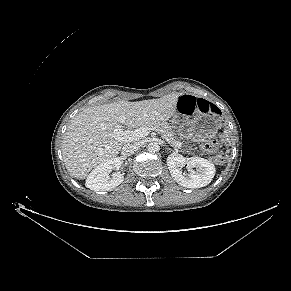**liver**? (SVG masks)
<instances>
[{
	"instance_id": "1",
	"label": "liver",
	"mask_w": 291,
	"mask_h": 291,
	"mask_svg": "<svg viewBox=\"0 0 291 291\" xmlns=\"http://www.w3.org/2000/svg\"><path fill=\"white\" fill-rule=\"evenodd\" d=\"M179 96L173 93L159 99L122 100L83 110L73 118L63 139L62 154L68 173L85 179L92 168L119 154L123 142L114 138L116 128L121 124L137 128L169 120L176 112Z\"/></svg>"
}]
</instances>
